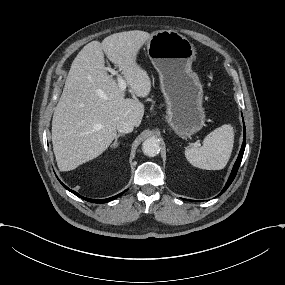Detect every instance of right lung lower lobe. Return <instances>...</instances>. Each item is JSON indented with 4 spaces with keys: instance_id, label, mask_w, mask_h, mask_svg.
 Masks as SVG:
<instances>
[{
    "instance_id": "right-lung-lower-lobe-1",
    "label": "right lung lower lobe",
    "mask_w": 285,
    "mask_h": 285,
    "mask_svg": "<svg viewBox=\"0 0 285 285\" xmlns=\"http://www.w3.org/2000/svg\"><path fill=\"white\" fill-rule=\"evenodd\" d=\"M60 183H61L67 190H69L70 192H72V193H74L75 195H77L78 197H80V198H82V199H84V200H86V201L92 202V203H106V202H109V201H111V200L116 199L118 196L122 195V194L126 191V190H125V191H123L122 193H120V194H118V195H116V196L107 198V199L96 200V199H89V198L82 197V196L79 195L77 192H75V191L69 189L67 186H65L61 181H60Z\"/></svg>"
}]
</instances>
